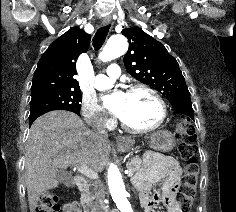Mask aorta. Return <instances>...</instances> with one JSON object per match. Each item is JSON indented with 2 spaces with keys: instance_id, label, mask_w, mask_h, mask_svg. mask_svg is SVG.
Segmentation results:
<instances>
[{
  "instance_id": "obj_1",
  "label": "aorta",
  "mask_w": 236,
  "mask_h": 212,
  "mask_svg": "<svg viewBox=\"0 0 236 212\" xmlns=\"http://www.w3.org/2000/svg\"><path fill=\"white\" fill-rule=\"evenodd\" d=\"M127 49V39L123 35H113L99 54V59L104 62L111 61L125 54ZM108 187L118 211L133 212V208L127 198L122 175L115 164H111L108 169Z\"/></svg>"
}]
</instances>
